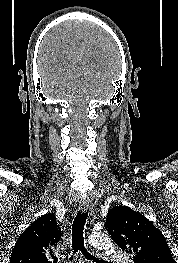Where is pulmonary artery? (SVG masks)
Instances as JSON below:
<instances>
[{"label": "pulmonary artery", "instance_id": "1", "mask_svg": "<svg viewBox=\"0 0 178 263\" xmlns=\"http://www.w3.org/2000/svg\"><path fill=\"white\" fill-rule=\"evenodd\" d=\"M110 257L113 261L118 263H130V260L124 254L117 251L111 253Z\"/></svg>", "mask_w": 178, "mask_h": 263}]
</instances>
